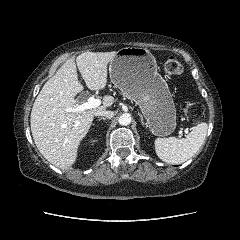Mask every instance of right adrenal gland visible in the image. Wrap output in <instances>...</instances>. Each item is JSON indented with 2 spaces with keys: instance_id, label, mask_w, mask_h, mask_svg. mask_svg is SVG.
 Instances as JSON below:
<instances>
[{
  "instance_id": "2a0ac1e0",
  "label": "right adrenal gland",
  "mask_w": 240,
  "mask_h": 240,
  "mask_svg": "<svg viewBox=\"0 0 240 240\" xmlns=\"http://www.w3.org/2000/svg\"><path fill=\"white\" fill-rule=\"evenodd\" d=\"M98 120H99V121H100V120H106V118H105V117H100Z\"/></svg>"
}]
</instances>
